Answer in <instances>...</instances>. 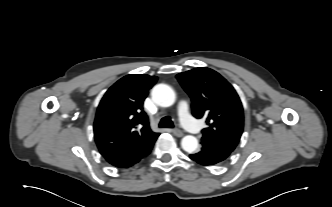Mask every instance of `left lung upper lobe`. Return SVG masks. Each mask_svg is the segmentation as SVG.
I'll return each mask as SVG.
<instances>
[{
	"instance_id": "obj_1",
	"label": "left lung upper lobe",
	"mask_w": 332,
	"mask_h": 207,
	"mask_svg": "<svg viewBox=\"0 0 332 207\" xmlns=\"http://www.w3.org/2000/svg\"><path fill=\"white\" fill-rule=\"evenodd\" d=\"M178 81L192 100V114L206 118L202 142L229 152L243 132V107L235 89L216 71L200 67L179 73Z\"/></svg>"
}]
</instances>
